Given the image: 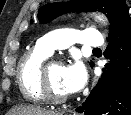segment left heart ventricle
<instances>
[{
  "instance_id": "obj_1",
  "label": "left heart ventricle",
  "mask_w": 131,
  "mask_h": 115,
  "mask_svg": "<svg viewBox=\"0 0 131 115\" xmlns=\"http://www.w3.org/2000/svg\"><path fill=\"white\" fill-rule=\"evenodd\" d=\"M62 68L57 64H51L46 72L49 89L56 96H67L62 82Z\"/></svg>"
}]
</instances>
